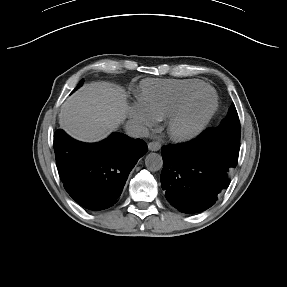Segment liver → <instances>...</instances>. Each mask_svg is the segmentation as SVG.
<instances>
[{
	"mask_svg": "<svg viewBox=\"0 0 287 287\" xmlns=\"http://www.w3.org/2000/svg\"><path fill=\"white\" fill-rule=\"evenodd\" d=\"M128 104L124 90L101 81L85 84L62 105L60 126L83 142L106 138L126 118Z\"/></svg>",
	"mask_w": 287,
	"mask_h": 287,
	"instance_id": "obj_1",
	"label": "liver"
}]
</instances>
